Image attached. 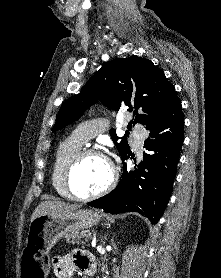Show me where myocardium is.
Segmentation results:
<instances>
[{
	"label": "myocardium",
	"mask_w": 221,
	"mask_h": 278,
	"mask_svg": "<svg viewBox=\"0 0 221 278\" xmlns=\"http://www.w3.org/2000/svg\"><path fill=\"white\" fill-rule=\"evenodd\" d=\"M91 155L102 157L108 163L110 169V178L108 183L101 190L88 195H80L73 188L72 175L79 162L83 160L85 157ZM117 181H118V171L114 162L109 157H107L104 153L94 148H82L78 152H76L67 163L64 171V186L67 193L69 194L71 199L82 201V202L90 201L105 195L116 186Z\"/></svg>",
	"instance_id": "myocardium-1"
}]
</instances>
